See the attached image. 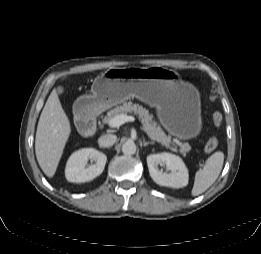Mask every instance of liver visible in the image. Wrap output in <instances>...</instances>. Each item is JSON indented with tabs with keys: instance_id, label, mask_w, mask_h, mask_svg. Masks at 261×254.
Instances as JSON below:
<instances>
[{
	"instance_id": "obj_1",
	"label": "liver",
	"mask_w": 261,
	"mask_h": 254,
	"mask_svg": "<svg viewBox=\"0 0 261 254\" xmlns=\"http://www.w3.org/2000/svg\"><path fill=\"white\" fill-rule=\"evenodd\" d=\"M70 133V121L61 106L56 89H53L41 112L35 137L38 164L49 178L57 170Z\"/></svg>"
}]
</instances>
